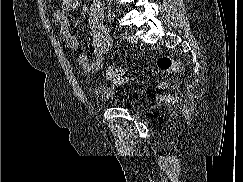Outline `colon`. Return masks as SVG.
Masks as SVG:
<instances>
[{
    "label": "colon",
    "instance_id": "colon-1",
    "mask_svg": "<svg viewBox=\"0 0 243 182\" xmlns=\"http://www.w3.org/2000/svg\"><path fill=\"white\" fill-rule=\"evenodd\" d=\"M158 68L167 73L177 72L180 70V64L171 57L162 56L157 61ZM129 72L124 68L107 67L102 71L105 79L120 82L127 78Z\"/></svg>",
    "mask_w": 243,
    "mask_h": 182
}]
</instances>
